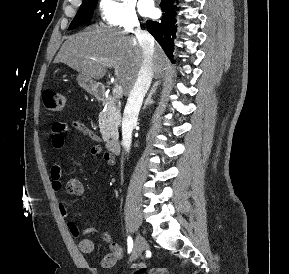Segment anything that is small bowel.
<instances>
[{
  "label": "small bowel",
  "mask_w": 289,
  "mask_h": 274,
  "mask_svg": "<svg viewBox=\"0 0 289 274\" xmlns=\"http://www.w3.org/2000/svg\"><path fill=\"white\" fill-rule=\"evenodd\" d=\"M76 130L81 132L84 135L89 136L94 141H99V137L87 126L79 121H71V122H55L51 127V147L53 150L58 151L61 150L65 145V133L69 130ZM90 154L93 157L100 158L103 162L108 165L114 164V156L102 149L100 145L92 146L90 150ZM50 179L52 184V190L55 193L61 191L63 183H62V166L59 160L55 161L50 168ZM65 192L70 196H82L85 193V188L82 182L79 179L72 178L67 181L65 184ZM58 207L60 213L66 217L68 215V211L66 205L63 201H58ZM68 229L70 233L75 237H80L82 235L91 234L95 231L92 227H86L84 229H79L74 222H68ZM107 240L110 243L111 251L106 253L100 261V265L103 268H111L113 267L118 260H120L124 253L125 248L113 241L107 236ZM79 250L83 254H91L94 251L95 245L94 242L89 238H83L79 242Z\"/></svg>",
  "instance_id": "1"
}]
</instances>
